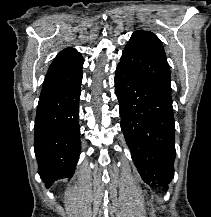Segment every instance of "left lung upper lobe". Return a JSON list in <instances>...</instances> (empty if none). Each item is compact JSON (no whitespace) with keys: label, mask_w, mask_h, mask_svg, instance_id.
Returning <instances> with one entry per match:
<instances>
[{"label":"left lung upper lobe","mask_w":211,"mask_h":217,"mask_svg":"<svg viewBox=\"0 0 211 217\" xmlns=\"http://www.w3.org/2000/svg\"><path fill=\"white\" fill-rule=\"evenodd\" d=\"M119 64L172 101L170 66L162 42L154 33L135 31L124 48Z\"/></svg>","instance_id":"1"}]
</instances>
